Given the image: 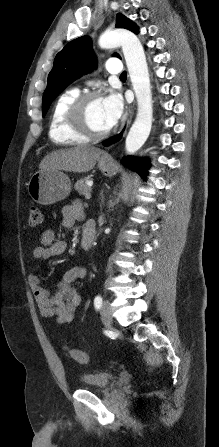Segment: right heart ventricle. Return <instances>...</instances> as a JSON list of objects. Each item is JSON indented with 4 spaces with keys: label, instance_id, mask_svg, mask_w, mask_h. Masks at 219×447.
I'll use <instances>...</instances> for the list:
<instances>
[{
    "label": "right heart ventricle",
    "instance_id": "obj_1",
    "mask_svg": "<svg viewBox=\"0 0 219 447\" xmlns=\"http://www.w3.org/2000/svg\"><path fill=\"white\" fill-rule=\"evenodd\" d=\"M79 95L77 89H71L61 94L54 103L49 120V137L59 145L83 144L88 138L71 128L67 121V111L72 101Z\"/></svg>",
    "mask_w": 219,
    "mask_h": 447
}]
</instances>
